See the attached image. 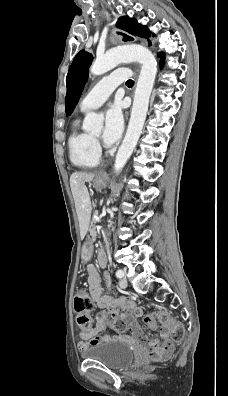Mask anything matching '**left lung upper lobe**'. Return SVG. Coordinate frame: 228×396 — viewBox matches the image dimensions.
I'll use <instances>...</instances> for the list:
<instances>
[{
  "label": "left lung upper lobe",
  "mask_w": 228,
  "mask_h": 396,
  "mask_svg": "<svg viewBox=\"0 0 228 396\" xmlns=\"http://www.w3.org/2000/svg\"><path fill=\"white\" fill-rule=\"evenodd\" d=\"M116 27L127 31L130 35L123 34L124 41L133 40V36H140L143 38L150 37L151 32L146 26L137 22L134 18L122 16L116 23ZM92 55L85 50H81L74 58L72 65L69 68L66 85V114L70 115L83 91L84 85L87 81L88 68L92 63Z\"/></svg>",
  "instance_id": "left-lung-upper-lobe-1"
}]
</instances>
